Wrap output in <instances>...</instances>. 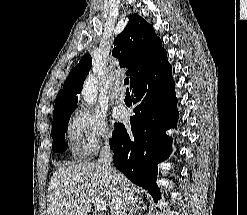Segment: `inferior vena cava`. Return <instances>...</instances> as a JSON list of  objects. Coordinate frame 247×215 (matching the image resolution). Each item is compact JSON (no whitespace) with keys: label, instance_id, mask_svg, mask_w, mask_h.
I'll return each instance as SVG.
<instances>
[{"label":"inferior vena cava","instance_id":"602c4592","mask_svg":"<svg viewBox=\"0 0 247 215\" xmlns=\"http://www.w3.org/2000/svg\"><path fill=\"white\" fill-rule=\"evenodd\" d=\"M112 152L109 147V142H105L101 149L98 164L102 167L105 176L114 184L120 185V175L112 166ZM127 201L123 194H119L115 199V213L114 215H127Z\"/></svg>","mask_w":247,"mask_h":215}]
</instances>
